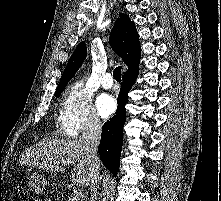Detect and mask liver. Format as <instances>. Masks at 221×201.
<instances>
[{"label":"liver","instance_id":"liver-1","mask_svg":"<svg viewBox=\"0 0 221 201\" xmlns=\"http://www.w3.org/2000/svg\"><path fill=\"white\" fill-rule=\"evenodd\" d=\"M21 163L58 172L74 165L72 183L82 187L91 183L88 146L84 139L44 138L23 152Z\"/></svg>","mask_w":221,"mask_h":201}]
</instances>
